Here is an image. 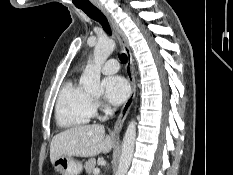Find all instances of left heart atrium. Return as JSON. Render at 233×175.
Returning <instances> with one entry per match:
<instances>
[{"label":"left heart atrium","instance_id":"left-heart-atrium-1","mask_svg":"<svg viewBox=\"0 0 233 175\" xmlns=\"http://www.w3.org/2000/svg\"><path fill=\"white\" fill-rule=\"evenodd\" d=\"M103 85L105 88V97L113 104H121L129 95V85L121 76H109L104 79Z\"/></svg>","mask_w":233,"mask_h":175}]
</instances>
